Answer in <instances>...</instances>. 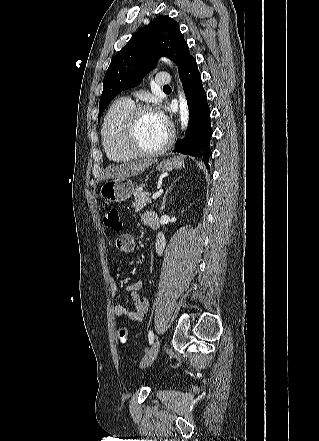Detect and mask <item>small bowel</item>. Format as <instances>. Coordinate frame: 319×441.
I'll list each match as a JSON object with an SVG mask.
<instances>
[{
	"mask_svg": "<svg viewBox=\"0 0 319 441\" xmlns=\"http://www.w3.org/2000/svg\"><path fill=\"white\" fill-rule=\"evenodd\" d=\"M143 224L151 229H156L159 225L158 216L153 212H145L141 216ZM165 238L163 234L159 233L156 240V251L159 255H162L165 250ZM116 248L125 254H131L136 249V242L132 235L121 234L115 241ZM142 288L141 281H135L130 284L119 283L117 280L112 279L110 282V292L113 296L117 291L123 290L130 292L134 301V309L130 310L122 303H116L113 307L114 314L117 317H127L134 322H142L144 316L148 310L149 302L146 298H142L139 294Z\"/></svg>",
	"mask_w": 319,
	"mask_h": 441,
	"instance_id": "obj_1",
	"label": "small bowel"
}]
</instances>
